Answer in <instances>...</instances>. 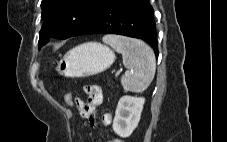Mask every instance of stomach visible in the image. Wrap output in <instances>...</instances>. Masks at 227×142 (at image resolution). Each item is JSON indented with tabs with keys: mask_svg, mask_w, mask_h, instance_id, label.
Masks as SVG:
<instances>
[{
	"mask_svg": "<svg viewBox=\"0 0 227 142\" xmlns=\"http://www.w3.org/2000/svg\"><path fill=\"white\" fill-rule=\"evenodd\" d=\"M114 60L115 54L109 47L88 42L69 50L57 63L56 71L65 77H88L105 71Z\"/></svg>",
	"mask_w": 227,
	"mask_h": 142,
	"instance_id": "0dacf381",
	"label": "stomach"
}]
</instances>
